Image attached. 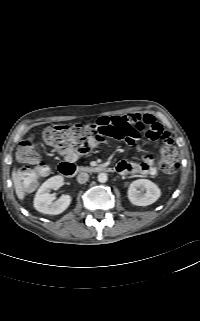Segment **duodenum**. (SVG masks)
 <instances>
[{
  "label": "duodenum",
  "instance_id": "obj_1",
  "mask_svg": "<svg viewBox=\"0 0 200 321\" xmlns=\"http://www.w3.org/2000/svg\"><path fill=\"white\" fill-rule=\"evenodd\" d=\"M114 167H109L106 165H94L86 167H77L70 162H63L59 165V172L65 177H72L78 172L86 173H100V172H115Z\"/></svg>",
  "mask_w": 200,
  "mask_h": 321
}]
</instances>
